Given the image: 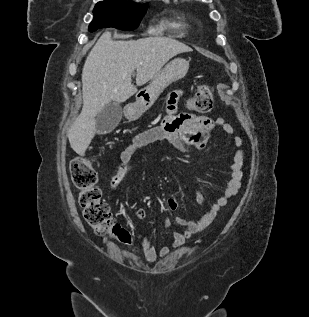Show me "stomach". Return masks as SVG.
I'll return each instance as SVG.
<instances>
[{"label": "stomach", "instance_id": "1", "mask_svg": "<svg viewBox=\"0 0 309 317\" xmlns=\"http://www.w3.org/2000/svg\"><path fill=\"white\" fill-rule=\"evenodd\" d=\"M189 69V62L183 58H175L170 61L151 81V83L139 90L136 101L124 109L125 117L134 121L152 107L159 95L173 82L185 77Z\"/></svg>", "mask_w": 309, "mask_h": 317}]
</instances>
